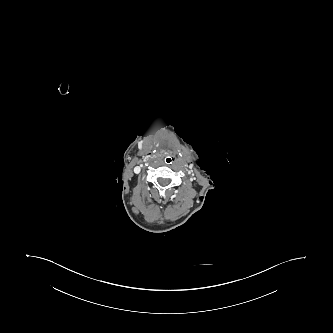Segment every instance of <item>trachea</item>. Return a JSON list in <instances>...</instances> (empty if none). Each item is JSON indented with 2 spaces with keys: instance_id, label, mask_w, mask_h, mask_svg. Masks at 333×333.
<instances>
[{
  "instance_id": "1",
  "label": "trachea",
  "mask_w": 333,
  "mask_h": 333,
  "mask_svg": "<svg viewBox=\"0 0 333 333\" xmlns=\"http://www.w3.org/2000/svg\"><path fill=\"white\" fill-rule=\"evenodd\" d=\"M162 163H163V165L166 166V167H171V166H173L174 163H175V158H174V156L171 155V154H166V155H164L163 158H162Z\"/></svg>"
}]
</instances>
